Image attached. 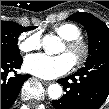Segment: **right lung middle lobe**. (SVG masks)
Segmentation results:
<instances>
[{
	"mask_svg": "<svg viewBox=\"0 0 109 109\" xmlns=\"http://www.w3.org/2000/svg\"><path fill=\"white\" fill-rule=\"evenodd\" d=\"M36 27H23L15 22L1 21V56L19 57L18 36Z\"/></svg>",
	"mask_w": 109,
	"mask_h": 109,
	"instance_id": "obj_1",
	"label": "right lung middle lobe"
}]
</instances>
